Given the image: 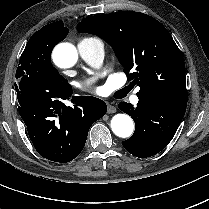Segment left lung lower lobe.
<instances>
[{
	"label": "left lung lower lobe",
	"mask_w": 209,
	"mask_h": 209,
	"mask_svg": "<svg viewBox=\"0 0 209 209\" xmlns=\"http://www.w3.org/2000/svg\"><path fill=\"white\" fill-rule=\"evenodd\" d=\"M134 108L131 103L120 102V110L135 121V132L122 142L124 148L140 158L153 156L163 150L174 137L181 123L186 105L161 101L154 97H138Z\"/></svg>",
	"instance_id": "0a47b994"
}]
</instances>
